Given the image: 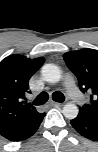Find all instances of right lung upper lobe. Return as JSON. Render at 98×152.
I'll return each mask as SVG.
<instances>
[{
	"instance_id": "obj_1",
	"label": "right lung upper lobe",
	"mask_w": 98,
	"mask_h": 152,
	"mask_svg": "<svg viewBox=\"0 0 98 152\" xmlns=\"http://www.w3.org/2000/svg\"><path fill=\"white\" fill-rule=\"evenodd\" d=\"M44 61L42 57L30 59L10 55L0 62V135L3 137L19 130L39 114L25 99L30 93L29 79Z\"/></svg>"
}]
</instances>
